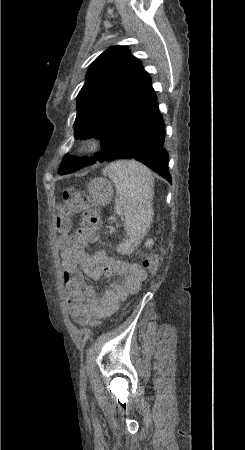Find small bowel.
<instances>
[{
	"instance_id": "obj_1",
	"label": "small bowel",
	"mask_w": 245,
	"mask_h": 450,
	"mask_svg": "<svg viewBox=\"0 0 245 450\" xmlns=\"http://www.w3.org/2000/svg\"><path fill=\"white\" fill-rule=\"evenodd\" d=\"M62 279L67 288V308L81 325H98L102 318L112 315L119 303L139 288L145 278L143 269L133 263L114 260L105 250L93 254L65 250L62 254ZM123 277L102 296H97L93 285L84 279Z\"/></svg>"
}]
</instances>
